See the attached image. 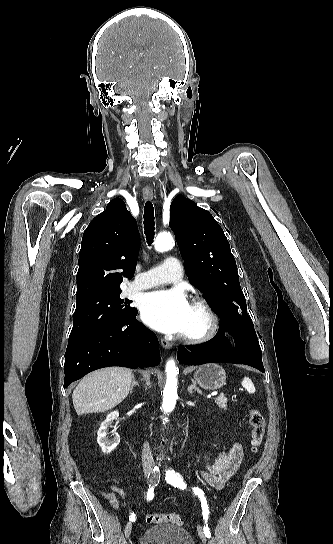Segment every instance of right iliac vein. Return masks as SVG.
Segmentation results:
<instances>
[{
  "label": "right iliac vein",
  "mask_w": 333,
  "mask_h": 544,
  "mask_svg": "<svg viewBox=\"0 0 333 544\" xmlns=\"http://www.w3.org/2000/svg\"><path fill=\"white\" fill-rule=\"evenodd\" d=\"M151 474V470L150 469H146L145 470V476L146 477H149ZM131 531H132V522H128L125 526V537L127 539H129L130 535H131Z\"/></svg>",
  "instance_id": "right-iliac-vein-1"
}]
</instances>
